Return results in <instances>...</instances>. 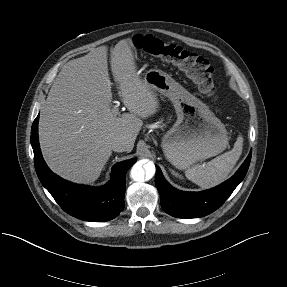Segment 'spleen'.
<instances>
[{
    "mask_svg": "<svg viewBox=\"0 0 287 287\" xmlns=\"http://www.w3.org/2000/svg\"><path fill=\"white\" fill-rule=\"evenodd\" d=\"M243 140V137L239 135L232 150L217 156L206 164L193 166L186 170L185 176L205 189L222 183L227 179L242 154Z\"/></svg>",
    "mask_w": 287,
    "mask_h": 287,
    "instance_id": "1",
    "label": "spleen"
}]
</instances>
